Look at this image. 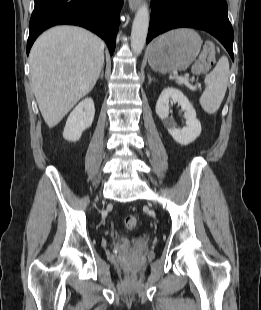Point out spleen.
<instances>
[{
  "label": "spleen",
  "mask_w": 261,
  "mask_h": 310,
  "mask_svg": "<svg viewBox=\"0 0 261 310\" xmlns=\"http://www.w3.org/2000/svg\"><path fill=\"white\" fill-rule=\"evenodd\" d=\"M228 79L229 61L223 56L204 80L206 89L199 102L206 113L214 114L219 109L227 90Z\"/></svg>",
  "instance_id": "spleen-1"
}]
</instances>
